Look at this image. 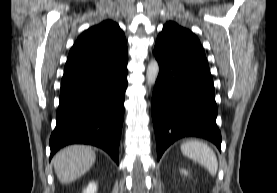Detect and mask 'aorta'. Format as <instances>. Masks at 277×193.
Returning <instances> with one entry per match:
<instances>
[{"instance_id":"aorta-1","label":"aorta","mask_w":277,"mask_h":193,"mask_svg":"<svg viewBox=\"0 0 277 193\" xmlns=\"http://www.w3.org/2000/svg\"><path fill=\"white\" fill-rule=\"evenodd\" d=\"M159 74V64L153 59L150 61L146 71V81L148 85H153Z\"/></svg>"}]
</instances>
